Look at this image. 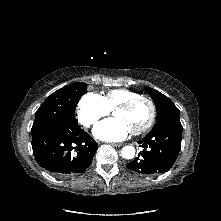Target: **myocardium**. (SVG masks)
<instances>
[{
  "label": "myocardium",
  "instance_id": "f54148a6",
  "mask_svg": "<svg viewBox=\"0 0 221 221\" xmlns=\"http://www.w3.org/2000/svg\"><path fill=\"white\" fill-rule=\"evenodd\" d=\"M140 102H146L149 105L150 116H149L148 121L142 127L135 129V130H131V133L133 135H141V134L147 132L153 126V124L156 120V115H157V108H156L154 101L149 97L139 96V97L130 99L128 101H125V102L119 104L114 109V112L117 110H125V111L131 110L133 107H135Z\"/></svg>",
  "mask_w": 221,
  "mask_h": 221
}]
</instances>
